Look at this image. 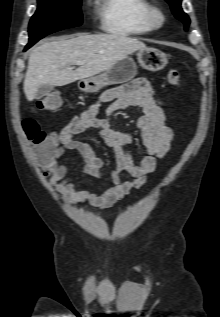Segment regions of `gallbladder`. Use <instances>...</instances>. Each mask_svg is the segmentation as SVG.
<instances>
[{
    "label": "gallbladder",
    "instance_id": "1",
    "mask_svg": "<svg viewBox=\"0 0 220 317\" xmlns=\"http://www.w3.org/2000/svg\"><path fill=\"white\" fill-rule=\"evenodd\" d=\"M53 88L54 87L52 85H42L36 92V98H43L44 96L48 95L53 90Z\"/></svg>",
    "mask_w": 220,
    "mask_h": 317
}]
</instances>
